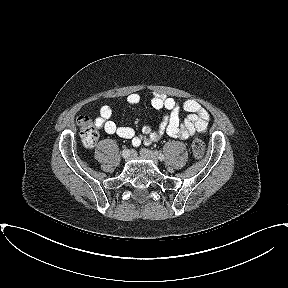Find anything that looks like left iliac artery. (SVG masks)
<instances>
[{
    "label": "left iliac artery",
    "instance_id": "left-iliac-artery-1",
    "mask_svg": "<svg viewBox=\"0 0 288 288\" xmlns=\"http://www.w3.org/2000/svg\"><path fill=\"white\" fill-rule=\"evenodd\" d=\"M156 156H158V158L162 161L164 160V155L159 153L158 151H155Z\"/></svg>",
    "mask_w": 288,
    "mask_h": 288
}]
</instances>
